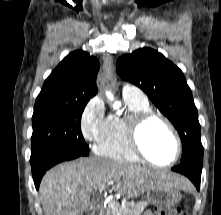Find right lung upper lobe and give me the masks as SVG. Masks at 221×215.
<instances>
[{
  "mask_svg": "<svg viewBox=\"0 0 221 215\" xmlns=\"http://www.w3.org/2000/svg\"><path fill=\"white\" fill-rule=\"evenodd\" d=\"M98 60L77 50L66 56L45 80L36 103H83L96 95Z\"/></svg>",
  "mask_w": 221,
  "mask_h": 215,
  "instance_id": "right-lung-upper-lobe-1",
  "label": "right lung upper lobe"
}]
</instances>
